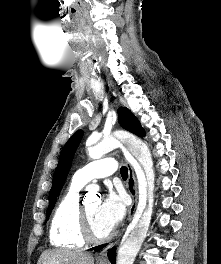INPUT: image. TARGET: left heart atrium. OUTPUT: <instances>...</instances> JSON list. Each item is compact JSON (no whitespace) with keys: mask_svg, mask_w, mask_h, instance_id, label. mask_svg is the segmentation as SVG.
Here are the masks:
<instances>
[{"mask_svg":"<svg viewBox=\"0 0 221 264\" xmlns=\"http://www.w3.org/2000/svg\"><path fill=\"white\" fill-rule=\"evenodd\" d=\"M99 216L112 229L119 223L125 214L124 199L115 192L109 193L99 205Z\"/></svg>","mask_w":221,"mask_h":264,"instance_id":"1","label":"left heart atrium"}]
</instances>
